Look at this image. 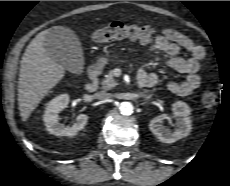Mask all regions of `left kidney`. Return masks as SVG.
<instances>
[{"instance_id":"left-kidney-1","label":"left kidney","mask_w":230,"mask_h":186,"mask_svg":"<svg viewBox=\"0 0 230 186\" xmlns=\"http://www.w3.org/2000/svg\"><path fill=\"white\" fill-rule=\"evenodd\" d=\"M173 115L162 114L152 119L149 124L150 131L164 143H174L183 137L189 135L192 125L189 117L191 110L190 107L182 101H177L172 105ZM175 118V130L171 131L164 122L166 120L171 121Z\"/></svg>"}]
</instances>
